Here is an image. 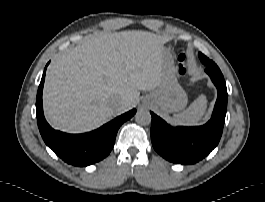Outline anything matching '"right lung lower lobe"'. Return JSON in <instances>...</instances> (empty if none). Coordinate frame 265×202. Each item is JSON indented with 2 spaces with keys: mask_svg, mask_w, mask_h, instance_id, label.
Here are the masks:
<instances>
[{
  "mask_svg": "<svg viewBox=\"0 0 265 202\" xmlns=\"http://www.w3.org/2000/svg\"><path fill=\"white\" fill-rule=\"evenodd\" d=\"M47 68V66H46ZM37 92V122L45 143L65 162L75 166H88L105 158L112 150L117 131L135 113L133 109L101 128L85 134H66L53 130L46 122L42 108V90L45 72Z\"/></svg>",
  "mask_w": 265,
  "mask_h": 202,
  "instance_id": "obj_1",
  "label": "right lung lower lobe"
}]
</instances>
